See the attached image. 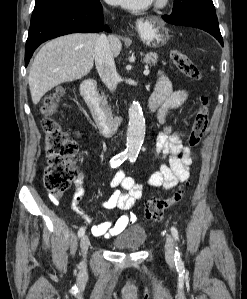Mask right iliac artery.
<instances>
[{"mask_svg":"<svg viewBox=\"0 0 247 299\" xmlns=\"http://www.w3.org/2000/svg\"><path fill=\"white\" fill-rule=\"evenodd\" d=\"M127 158H128V155L125 153L118 154L111 159V161H110L111 166L115 168L118 165H120L121 163H123ZM84 233H85V227L82 226L78 231V236L82 237L84 235Z\"/></svg>","mask_w":247,"mask_h":299,"instance_id":"right-iliac-artery-1","label":"right iliac artery"}]
</instances>
